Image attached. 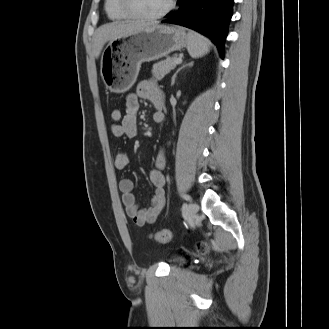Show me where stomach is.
<instances>
[{
	"label": "stomach",
	"mask_w": 329,
	"mask_h": 329,
	"mask_svg": "<svg viewBox=\"0 0 329 329\" xmlns=\"http://www.w3.org/2000/svg\"><path fill=\"white\" fill-rule=\"evenodd\" d=\"M187 45V34L176 26L156 25L109 41L101 57V77L114 93L135 83L141 64L158 60Z\"/></svg>",
	"instance_id": "0dacf381"
}]
</instances>
